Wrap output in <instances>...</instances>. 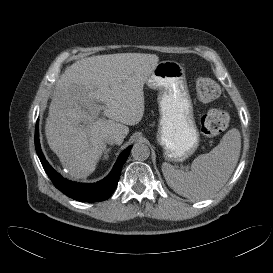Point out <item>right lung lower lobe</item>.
Instances as JSON below:
<instances>
[{"instance_id": "98d812e1", "label": "right lung lower lobe", "mask_w": 273, "mask_h": 273, "mask_svg": "<svg viewBox=\"0 0 273 273\" xmlns=\"http://www.w3.org/2000/svg\"><path fill=\"white\" fill-rule=\"evenodd\" d=\"M35 148L45 172L47 173V175L49 176V178L51 179V181L53 182L57 189H59L68 197L75 199L77 201L97 202L108 199L115 190L121 174V168L125 163L132 146H129L120 154L113 170L105 179L93 184H82L69 181L63 178L61 175H59L50 166V164L46 161L41 151L39 142L38 121L36 123L35 128Z\"/></svg>"}]
</instances>
